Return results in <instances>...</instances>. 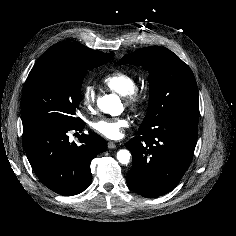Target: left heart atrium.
Instances as JSON below:
<instances>
[{"label": "left heart atrium", "mask_w": 236, "mask_h": 236, "mask_svg": "<svg viewBox=\"0 0 236 236\" xmlns=\"http://www.w3.org/2000/svg\"><path fill=\"white\" fill-rule=\"evenodd\" d=\"M128 126V121L124 117L101 118L93 122V129L99 134L109 139H119L122 137L124 129Z\"/></svg>", "instance_id": "1"}]
</instances>
